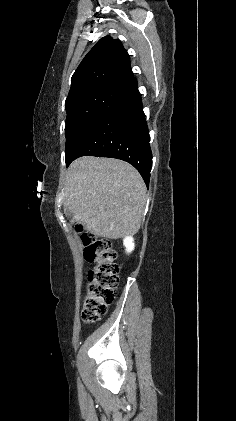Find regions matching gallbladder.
<instances>
[{"label":"gallbladder","mask_w":236,"mask_h":421,"mask_svg":"<svg viewBox=\"0 0 236 421\" xmlns=\"http://www.w3.org/2000/svg\"><path fill=\"white\" fill-rule=\"evenodd\" d=\"M65 211H66V213H67V211H68V208H67V206H65Z\"/></svg>","instance_id":"gallbladder-1"}]
</instances>
